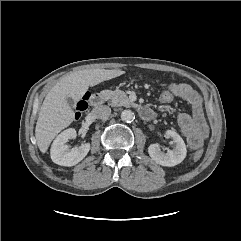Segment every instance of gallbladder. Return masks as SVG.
Listing matches in <instances>:
<instances>
[{"label":"gallbladder","mask_w":241,"mask_h":241,"mask_svg":"<svg viewBox=\"0 0 241 241\" xmlns=\"http://www.w3.org/2000/svg\"><path fill=\"white\" fill-rule=\"evenodd\" d=\"M66 101H67L68 105H69L71 108H75V106H76V101H75L73 98L67 97V98H66Z\"/></svg>","instance_id":"bac80fb5"}]
</instances>
